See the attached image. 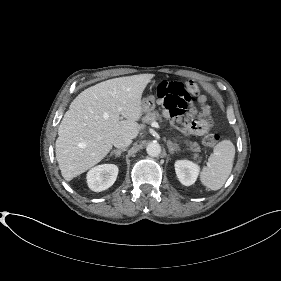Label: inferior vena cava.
I'll return each mask as SVG.
<instances>
[{
  "label": "inferior vena cava",
  "mask_w": 281,
  "mask_h": 281,
  "mask_svg": "<svg viewBox=\"0 0 281 281\" xmlns=\"http://www.w3.org/2000/svg\"><path fill=\"white\" fill-rule=\"evenodd\" d=\"M131 143H132V139L127 136H119L113 142L115 147L121 148V149L126 148Z\"/></svg>",
  "instance_id": "inferior-vena-cava-1"
}]
</instances>
